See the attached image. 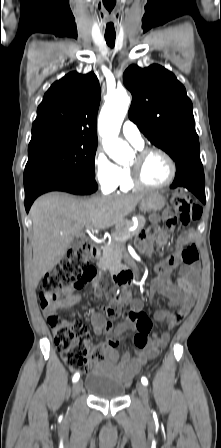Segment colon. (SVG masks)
Returning <instances> with one entry per match:
<instances>
[{"label": "colon", "mask_w": 221, "mask_h": 448, "mask_svg": "<svg viewBox=\"0 0 221 448\" xmlns=\"http://www.w3.org/2000/svg\"><path fill=\"white\" fill-rule=\"evenodd\" d=\"M172 203L179 217L168 221L170 228L178 223L186 226L199 217L200 208L188 195L179 193L172 199ZM180 258L184 264H196L199 260L196 246L194 244L186 246L182 250ZM98 277V271L90 264V248L87 245H81L71 250L65 258L45 274L40 287V303L47 312V320L54 334L56 347L69 368L80 373H86L89 368L87 353L91 338L87 326L77 319L59 317L57 311L52 308L66 299L74 290L93 283ZM111 290L112 286L108 285V291ZM115 305L117 306L116 303ZM128 317L136 323L137 327L134 344L137 348L142 349L148 344L152 322L143 311H129ZM180 320L181 315L176 313L175 325L179 324ZM131 384V379L125 380V386L129 387Z\"/></svg>", "instance_id": "colon-1"}]
</instances>
